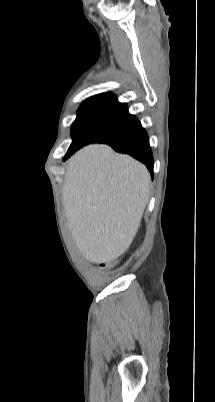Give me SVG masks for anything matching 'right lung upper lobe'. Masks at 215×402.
<instances>
[{
	"instance_id": "1",
	"label": "right lung upper lobe",
	"mask_w": 215,
	"mask_h": 402,
	"mask_svg": "<svg viewBox=\"0 0 215 402\" xmlns=\"http://www.w3.org/2000/svg\"><path fill=\"white\" fill-rule=\"evenodd\" d=\"M96 96H109V97H113V98H115V99H116V97H115L114 95L109 94V93H105V94H99V95H96Z\"/></svg>"
}]
</instances>
